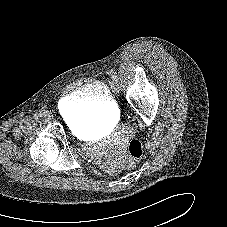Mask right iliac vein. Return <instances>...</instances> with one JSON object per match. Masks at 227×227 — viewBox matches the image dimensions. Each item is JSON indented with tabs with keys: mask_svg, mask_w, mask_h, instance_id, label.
Here are the masks:
<instances>
[{
	"mask_svg": "<svg viewBox=\"0 0 227 227\" xmlns=\"http://www.w3.org/2000/svg\"><path fill=\"white\" fill-rule=\"evenodd\" d=\"M44 117L45 118H49L50 117V114L46 112V113H44Z\"/></svg>",
	"mask_w": 227,
	"mask_h": 227,
	"instance_id": "63e3f726",
	"label": "right iliac vein"
}]
</instances>
